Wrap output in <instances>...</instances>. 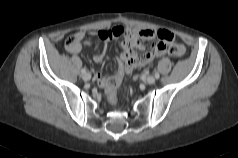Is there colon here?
Wrapping results in <instances>:
<instances>
[{
    "instance_id": "obj_1",
    "label": "colon",
    "mask_w": 238,
    "mask_h": 158,
    "mask_svg": "<svg viewBox=\"0 0 238 158\" xmlns=\"http://www.w3.org/2000/svg\"><path fill=\"white\" fill-rule=\"evenodd\" d=\"M98 36L102 40H110L114 37V34L111 30H102L98 32ZM78 44V40L75 37V35L70 36L66 40V47H75ZM168 52L171 56L175 58H182L186 54V49L184 45L180 42L177 41H171L169 46H168ZM120 83H118L116 80L112 79L110 82V88L109 91L107 92L108 97L111 102L116 101L117 97V89L119 87Z\"/></svg>"
}]
</instances>
